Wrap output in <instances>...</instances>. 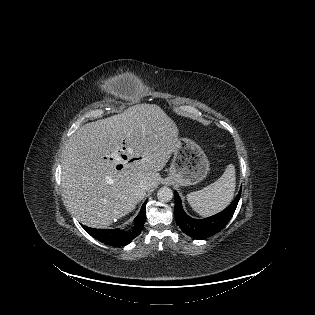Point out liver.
I'll return each mask as SVG.
<instances>
[{"mask_svg": "<svg viewBox=\"0 0 315 315\" xmlns=\"http://www.w3.org/2000/svg\"><path fill=\"white\" fill-rule=\"evenodd\" d=\"M178 144L177 125L155 104L135 105L83 125L68 140L61 159L69 211L94 228L126 216L145 196L136 195L137 186L141 181L147 182L148 191L158 186L159 171ZM122 151L128 159L117 170Z\"/></svg>", "mask_w": 315, "mask_h": 315, "instance_id": "liver-1", "label": "liver"}]
</instances>
